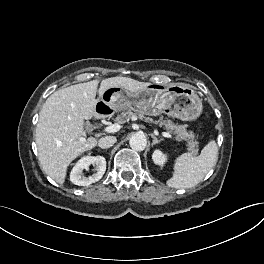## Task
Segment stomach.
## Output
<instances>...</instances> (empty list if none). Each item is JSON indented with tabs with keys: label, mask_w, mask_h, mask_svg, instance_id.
Returning <instances> with one entry per match:
<instances>
[{
	"label": "stomach",
	"mask_w": 264,
	"mask_h": 264,
	"mask_svg": "<svg viewBox=\"0 0 264 264\" xmlns=\"http://www.w3.org/2000/svg\"><path fill=\"white\" fill-rule=\"evenodd\" d=\"M122 110L148 116L165 113L183 121H192L200 116L202 101L193 89L183 85L167 88L150 85L137 93L116 86L103 92L95 108L96 115L100 117Z\"/></svg>",
	"instance_id": "obj_1"
}]
</instances>
